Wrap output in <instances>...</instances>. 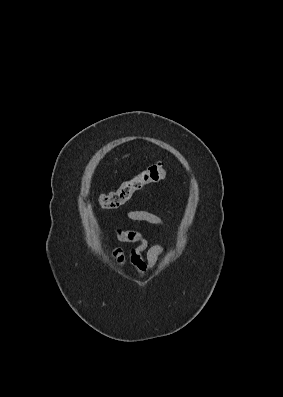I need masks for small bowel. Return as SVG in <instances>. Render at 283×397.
<instances>
[{
  "label": "small bowel",
  "instance_id": "1",
  "mask_svg": "<svg viewBox=\"0 0 283 397\" xmlns=\"http://www.w3.org/2000/svg\"><path fill=\"white\" fill-rule=\"evenodd\" d=\"M172 215V212L167 209ZM125 216L135 222H145L148 224L167 227L166 222L158 215L145 210H127ZM116 238L123 243L133 244V247L126 253L123 248L116 247L111 250L110 256L120 267L131 265L139 276L151 272L160 257L165 252V247L161 244L150 245L147 239L138 231L115 229Z\"/></svg>",
  "mask_w": 283,
  "mask_h": 397
}]
</instances>
